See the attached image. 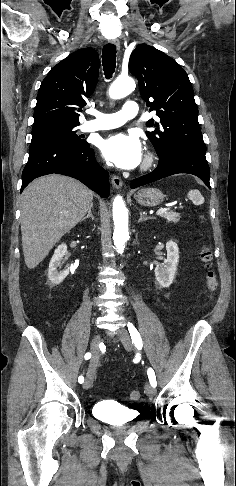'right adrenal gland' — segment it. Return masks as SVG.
<instances>
[{
	"label": "right adrenal gland",
	"mask_w": 236,
	"mask_h": 486,
	"mask_svg": "<svg viewBox=\"0 0 236 486\" xmlns=\"http://www.w3.org/2000/svg\"><path fill=\"white\" fill-rule=\"evenodd\" d=\"M92 207H93V205L89 208L87 215L82 218L81 222L84 221V220H86V219H89V218H91L92 220H94V216L92 214Z\"/></svg>",
	"instance_id": "1"
}]
</instances>
